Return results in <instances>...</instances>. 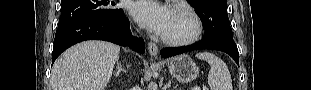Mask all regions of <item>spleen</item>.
I'll return each instance as SVG.
<instances>
[{
	"instance_id": "spleen-1",
	"label": "spleen",
	"mask_w": 311,
	"mask_h": 90,
	"mask_svg": "<svg viewBox=\"0 0 311 90\" xmlns=\"http://www.w3.org/2000/svg\"><path fill=\"white\" fill-rule=\"evenodd\" d=\"M196 57L205 60L210 65L208 84L211 90H232L230 72L219 57L209 52L198 53Z\"/></svg>"
}]
</instances>
